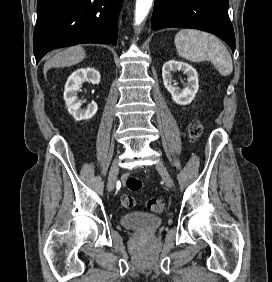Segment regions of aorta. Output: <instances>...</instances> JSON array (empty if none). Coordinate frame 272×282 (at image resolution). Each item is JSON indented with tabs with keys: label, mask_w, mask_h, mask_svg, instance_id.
I'll list each match as a JSON object with an SVG mask.
<instances>
[{
	"label": "aorta",
	"mask_w": 272,
	"mask_h": 282,
	"mask_svg": "<svg viewBox=\"0 0 272 282\" xmlns=\"http://www.w3.org/2000/svg\"><path fill=\"white\" fill-rule=\"evenodd\" d=\"M153 0H136L135 25H140L149 13Z\"/></svg>",
	"instance_id": "1"
}]
</instances>
